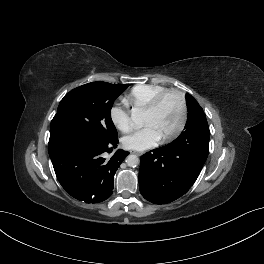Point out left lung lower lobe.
Here are the masks:
<instances>
[{
	"instance_id": "1",
	"label": "left lung lower lobe",
	"mask_w": 264,
	"mask_h": 264,
	"mask_svg": "<svg viewBox=\"0 0 264 264\" xmlns=\"http://www.w3.org/2000/svg\"><path fill=\"white\" fill-rule=\"evenodd\" d=\"M176 142L140 158L139 189L154 204L172 202L194 184L207 159L209 127L186 131Z\"/></svg>"
}]
</instances>
